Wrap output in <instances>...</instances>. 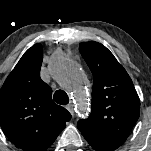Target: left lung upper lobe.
I'll return each mask as SVG.
<instances>
[{
  "label": "left lung upper lobe",
  "mask_w": 151,
  "mask_h": 151,
  "mask_svg": "<svg viewBox=\"0 0 151 151\" xmlns=\"http://www.w3.org/2000/svg\"><path fill=\"white\" fill-rule=\"evenodd\" d=\"M79 51L93 74L92 109L77 124L83 136L126 140L140 115V100L131 78L105 46L82 42Z\"/></svg>",
  "instance_id": "obj_1"
}]
</instances>
